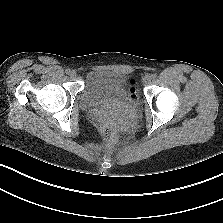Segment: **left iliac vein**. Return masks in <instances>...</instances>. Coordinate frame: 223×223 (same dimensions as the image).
<instances>
[{"instance_id":"4c4485c4","label":"left iliac vein","mask_w":223,"mask_h":223,"mask_svg":"<svg viewBox=\"0 0 223 223\" xmlns=\"http://www.w3.org/2000/svg\"><path fill=\"white\" fill-rule=\"evenodd\" d=\"M151 80H152V77L150 75H146L143 78V84L148 85V84H150Z\"/></svg>"}]
</instances>
